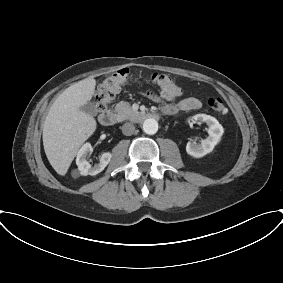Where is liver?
<instances>
[{"mask_svg": "<svg viewBox=\"0 0 283 283\" xmlns=\"http://www.w3.org/2000/svg\"><path fill=\"white\" fill-rule=\"evenodd\" d=\"M96 80L85 78L68 87L51 106L43 125L45 154L64 176L80 146L95 132L96 120L80 108L92 99Z\"/></svg>", "mask_w": 283, "mask_h": 283, "instance_id": "1", "label": "liver"}]
</instances>
